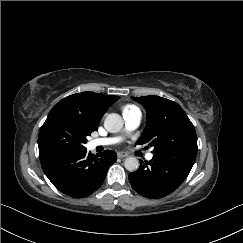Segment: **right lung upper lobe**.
Wrapping results in <instances>:
<instances>
[{"label":"right lung upper lobe","instance_id":"obj_1","mask_svg":"<svg viewBox=\"0 0 243 243\" xmlns=\"http://www.w3.org/2000/svg\"><path fill=\"white\" fill-rule=\"evenodd\" d=\"M118 99L117 96L102 95L94 92L76 93L59 101L54 107L62 108L80 118L96 130L108 106Z\"/></svg>","mask_w":243,"mask_h":243}]
</instances>
